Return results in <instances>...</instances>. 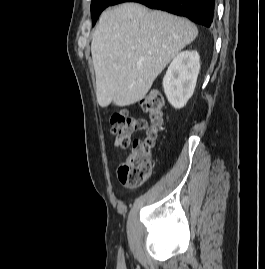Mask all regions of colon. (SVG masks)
<instances>
[{
	"instance_id": "1",
	"label": "colon",
	"mask_w": 265,
	"mask_h": 269,
	"mask_svg": "<svg viewBox=\"0 0 265 269\" xmlns=\"http://www.w3.org/2000/svg\"><path fill=\"white\" fill-rule=\"evenodd\" d=\"M141 108L151 119V126L147 129L144 140H135L131 145L134 132L147 128L145 121L130 117L126 112H116L110 117L112 133L117 145L127 149L131 145V152L127 160L118 169L120 182L129 187L147 182L152 173V157L158 132L163 123L164 99L157 92H150L141 101Z\"/></svg>"
}]
</instances>
